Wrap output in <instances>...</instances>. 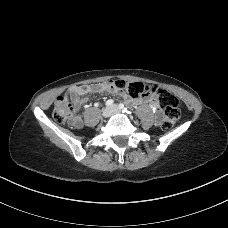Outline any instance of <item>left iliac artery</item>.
Segmentation results:
<instances>
[{
	"label": "left iliac artery",
	"mask_w": 228,
	"mask_h": 228,
	"mask_svg": "<svg viewBox=\"0 0 228 228\" xmlns=\"http://www.w3.org/2000/svg\"><path fill=\"white\" fill-rule=\"evenodd\" d=\"M119 108L127 112V109L125 108L124 104H119Z\"/></svg>",
	"instance_id": "1"
}]
</instances>
